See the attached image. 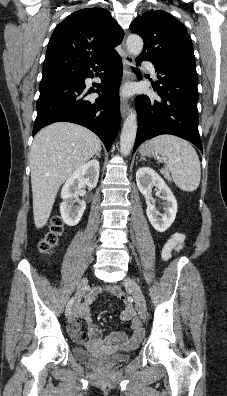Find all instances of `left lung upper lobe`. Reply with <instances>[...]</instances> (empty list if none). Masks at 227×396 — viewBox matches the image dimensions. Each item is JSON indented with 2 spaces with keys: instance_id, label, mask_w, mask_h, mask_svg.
I'll list each match as a JSON object with an SVG mask.
<instances>
[{
  "instance_id": "5c2ea615",
  "label": "left lung upper lobe",
  "mask_w": 227,
  "mask_h": 396,
  "mask_svg": "<svg viewBox=\"0 0 227 396\" xmlns=\"http://www.w3.org/2000/svg\"><path fill=\"white\" fill-rule=\"evenodd\" d=\"M130 29L144 41L140 58L197 74L191 38L184 25L170 13L147 11L136 17Z\"/></svg>"
}]
</instances>
